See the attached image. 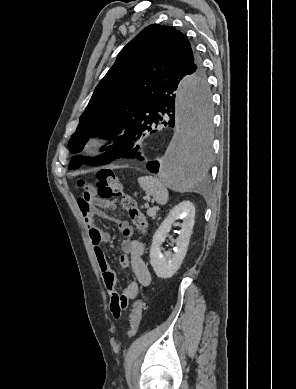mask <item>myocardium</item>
I'll use <instances>...</instances> for the list:
<instances>
[{"label": "myocardium", "mask_w": 296, "mask_h": 389, "mask_svg": "<svg viewBox=\"0 0 296 389\" xmlns=\"http://www.w3.org/2000/svg\"><path fill=\"white\" fill-rule=\"evenodd\" d=\"M103 144V139L98 136L90 137L86 140L84 144V150L88 153H94L98 150Z\"/></svg>", "instance_id": "myocardium-1"}]
</instances>
